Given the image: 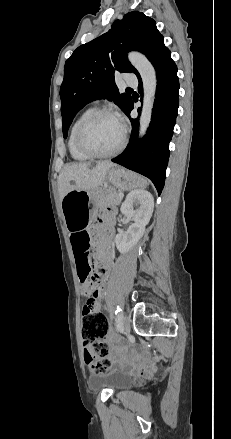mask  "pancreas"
<instances>
[{
	"label": "pancreas",
	"mask_w": 231,
	"mask_h": 439,
	"mask_svg": "<svg viewBox=\"0 0 231 439\" xmlns=\"http://www.w3.org/2000/svg\"><path fill=\"white\" fill-rule=\"evenodd\" d=\"M121 197L119 196V192L115 190H107L104 192V194L101 196L99 202L101 206L104 205H118L121 202Z\"/></svg>",
	"instance_id": "1"
}]
</instances>
